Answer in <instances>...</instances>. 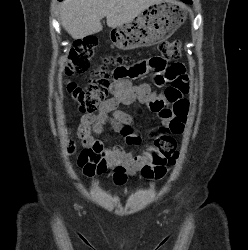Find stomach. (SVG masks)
Instances as JSON below:
<instances>
[{
	"label": "stomach",
	"mask_w": 248,
	"mask_h": 250,
	"mask_svg": "<svg viewBox=\"0 0 248 250\" xmlns=\"http://www.w3.org/2000/svg\"><path fill=\"white\" fill-rule=\"evenodd\" d=\"M184 20L181 4L164 0L143 10L135 20L112 29L110 40L122 50L152 46L168 39Z\"/></svg>",
	"instance_id": "0dacf381"
}]
</instances>
